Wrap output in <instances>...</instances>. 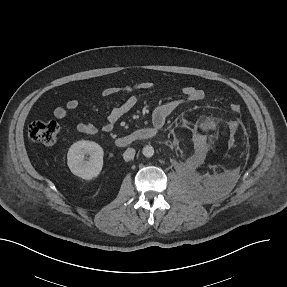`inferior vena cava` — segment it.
I'll return each instance as SVG.
<instances>
[{"label":"inferior vena cava","instance_id":"inferior-vena-cava-1","mask_svg":"<svg viewBox=\"0 0 287 287\" xmlns=\"http://www.w3.org/2000/svg\"><path fill=\"white\" fill-rule=\"evenodd\" d=\"M135 149L133 148H128L124 153H123V158L125 161L132 160L135 156Z\"/></svg>","mask_w":287,"mask_h":287}]
</instances>
